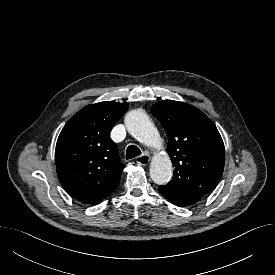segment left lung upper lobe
<instances>
[{
  "label": "left lung upper lobe",
  "mask_w": 275,
  "mask_h": 275,
  "mask_svg": "<svg viewBox=\"0 0 275 275\" xmlns=\"http://www.w3.org/2000/svg\"><path fill=\"white\" fill-rule=\"evenodd\" d=\"M168 136L167 152L175 167L172 180L159 186L167 195L204 196L218 184L225 148L214 123L198 108L174 100L151 107Z\"/></svg>",
  "instance_id": "1"
}]
</instances>
